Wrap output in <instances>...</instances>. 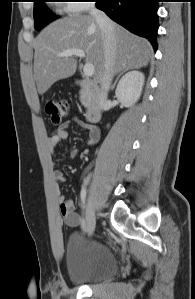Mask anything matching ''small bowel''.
<instances>
[{
    "instance_id": "obj_1",
    "label": "small bowel",
    "mask_w": 195,
    "mask_h": 299,
    "mask_svg": "<svg viewBox=\"0 0 195 299\" xmlns=\"http://www.w3.org/2000/svg\"><path fill=\"white\" fill-rule=\"evenodd\" d=\"M71 123L78 125L87 130L88 132V144L94 145L99 139V132L98 130L86 124L85 122L81 121L78 118H74L71 122L63 123L61 126L56 128L48 140V145L51 151H53L58 144L68 138V128ZM78 151L74 150L73 155H77ZM53 178L56 182L55 185V192L57 195L58 203H59V213L63 220V222L69 227H77L83 223V217L74 211L73 202L65 197V195L61 192L59 183L65 180L64 174L57 169H54Z\"/></svg>"
}]
</instances>
